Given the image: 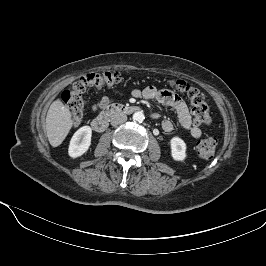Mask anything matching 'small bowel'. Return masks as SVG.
I'll use <instances>...</instances> for the list:
<instances>
[{
	"mask_svg": "<svg viewBox=\"0 0 266 266\" xmlns=\"http://www.w3.org/2000/svg\"><path fill=\"white\" fill-rule=\"evenodd\" d=\"M131 95L135 98H143L147 100H155L163 105L169 106L174 109L180 125L189 130L194 138H199L202 135V128L194 125L184 101L174 92L166 89H158L154 86H148L143 89H133ZM109 98L103 97L99 103L94 106V110L101 109L108 105ZM162 129L170 133L174 130V125L170 120L164 119L161 123Z\"/></svg>",
	"mask_w": 266,
	"mask_h": 266,
	"instance_id": "1",
	"label": "small bowel"
}]
</instances>
